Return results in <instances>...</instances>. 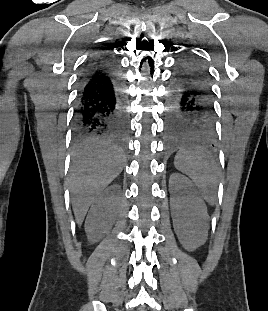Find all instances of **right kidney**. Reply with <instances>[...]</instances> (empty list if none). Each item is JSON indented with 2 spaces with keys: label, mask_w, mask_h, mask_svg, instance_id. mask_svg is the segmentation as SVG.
I'll use <instances>...</instances> for the list:
<instances>
[{
  "label": "right kidney",
  "mask_w": 268,
  "mask_h": 311,
  "mask_svg": "<svg viewBox=\"0 0 268 311\" xmlns=\"http://www.w3.org/2000/svg\"><path fill=\"white\" fill-rule=\"evenodd\" d=\"M121 200V187L113 184L93 202L85 221V232L91 243L99 241L110 231L118 216Z\"/></svg>",
  "instance_id": "1"
}]
</instances>
